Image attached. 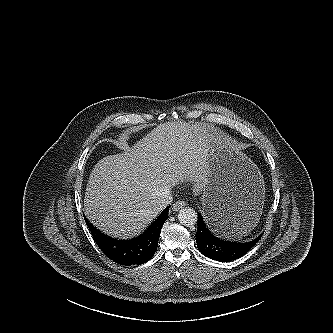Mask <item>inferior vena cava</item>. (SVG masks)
Here are the masks:
<instances>
[{"label": "inferior vena cava", "instance_id": "1", "mask_svg": "<svg viewBox=\"0 0 333 333\" xmlns=\"http://www.w3.org/2000/svg\"><path fill=\"white\" fill-rule=\"evenodd\" d=\"M173 197L170 191H166L163 194H161L158 202H157V209L163 210L166 208L169 204L172 203Z\"/></svg>", "mask_w": 333, "mask_h": 333}]
</instances>
